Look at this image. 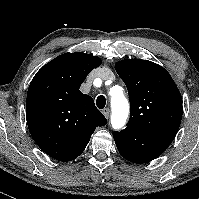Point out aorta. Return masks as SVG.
<instances>
[{
  "label": "aorta",
  "mask_w": 199,
  "mask_h": 199,
  "mask_svg": "<svg viewBox=\"0 0 199 199\" xmlns=\"http://www.w3.org/2000/svg\"><path fill=\"white\" fill-rule=\"evenodd\" d=\"M111 95V125L114 129H120L126 123L129 114V103L123 95L122 88L120 86H113L111 89Z\"/></svg>",
  "instance_id": "obj_1"
}]
</instances>
